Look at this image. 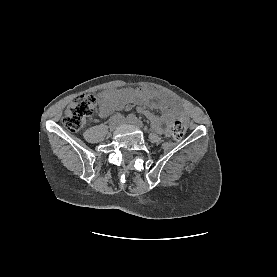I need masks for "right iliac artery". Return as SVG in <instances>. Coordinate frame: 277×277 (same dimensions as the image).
<instances>
[{"label":"right iliac artery","mask_w":277,"mask_h":277,"mask_svg":"<svg viewBox=\"0 0 277 277\" xmlns=\"http://www.w3.org/2000/svg\"><path fill=\"white\" fill-rule=\"evenodd\" d=\"M130 123H134L136 120V117L134 115H130L127 119Z\"/></svg>","instance_id":"obj_1"}]
</instances>
